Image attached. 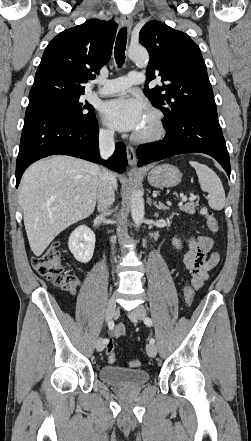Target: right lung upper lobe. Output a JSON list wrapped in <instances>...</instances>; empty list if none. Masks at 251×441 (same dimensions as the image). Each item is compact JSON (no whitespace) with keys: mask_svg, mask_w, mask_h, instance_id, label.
I'll use <instances>...</instances> for the list:
<instances>
[{"mask_svg":"<svg viewBox=\"0 0 251 441\" xmlns=\"http://www.w3.org/2000/svg\"><path fill=\"white\" fill-rule=\"evenodd\" d=\"M117 27L114 21L92 19L54 37L36 71L29 102L84 94V84L110 59Z\"/></svg>","mask_w":251,"mask_h":441,"instance_id":"cb5924a9","label":"right lung upper lobe"}]
</instances>
